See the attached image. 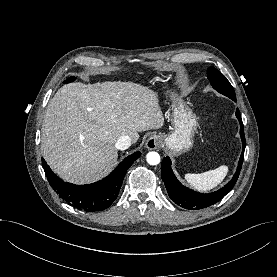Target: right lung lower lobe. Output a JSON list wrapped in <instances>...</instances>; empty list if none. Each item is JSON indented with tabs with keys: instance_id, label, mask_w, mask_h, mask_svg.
Segmentation results:
<instances>
[{
	"instance_id": "right-lung-lower-lobe-1",
	"label": "right lung lower lobe",
	"mask_w": 277,
	"mask_h": 277,
	"mask_svg": "<svg viewBox=\"0 0 277 277\" xmlns=\"http://www.w3.org/2000/svg\"><path fill=\"white\" fill-rule=\"evenodd\" d=\"M135 152L126 157L106 178L88 185H75L59 179L42 158V166L51 187L73 207L86 211H102L116 199L124 176L132 163L140 157Z\"/></svg>"
}]
</instances>
